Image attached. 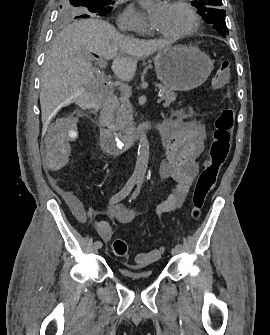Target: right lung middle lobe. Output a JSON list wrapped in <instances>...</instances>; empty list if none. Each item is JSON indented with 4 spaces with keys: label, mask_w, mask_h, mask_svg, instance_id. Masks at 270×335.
<instances>
[{
    "label": "right lung middle lobe",
    "mask_w": 270,
    "mask_h": 335,
    "mask_svg": "<svg viewBox=\"0 0 270 335\" xmlns=\"http://www.w3.org/2000/svg\"><path fill=\"white\" fill-rule=\"evenodd\" d=\"M114 0H61L58 8V21L69 22L75 19L102 17L113 9Z\"/></svg>",
    "instance_id": "obj_1"
}]
</instances>
